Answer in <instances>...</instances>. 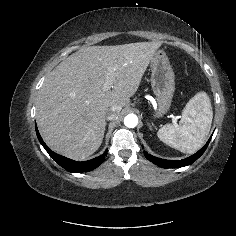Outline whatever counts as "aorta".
<instances>
[{
    "label": "aorta",
    "instance_id": "762f6f07",
    "mask_svg": "<svg viewBox=\"0 0 236 236\" xmlns=\"http://www.w3.org/2000/svg\"><path fill=\"white\" fill-rule=\"evenodd\" d=\"M138 124V117L135 114H128L124 118V125L128 128H134Z\"/></svg>",
    "mask_w": 236,
    "mask_h": 236
}]
</instances>
